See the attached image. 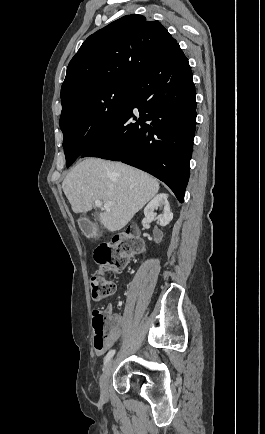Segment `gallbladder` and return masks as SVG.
<instances>
[{"mask_svg":"<svg viewBox=\"0 0 265 434\" xmlns=\"http://www.w3.org/2000/svg\"><path fill=\"white\" fill-rule=\"evenodd\" d=\"M95 218H97V220H99V214H97V216H95ZM91 220L87 219V218H82L79 221V224L81 225V229L82 231L86 232L85 236L88 239L91 238H97V234H96V228L97 226H94V224H91Z\"/></svg>","mask_w":265,"mask_h":434,"instance_id":"gallbladder-1","label":"gallbladder"}]
</instances>
